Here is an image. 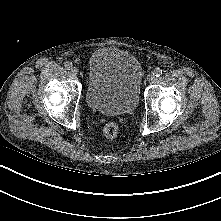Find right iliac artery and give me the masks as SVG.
Returning a JSON list of instances; mask_svg holds the SVG:
<instances>
[{"label": "right iliac artery", "instance_id": "1", "mask_svg": "<svg viewBox=\"0 0 221 221\" xmlns=\"http://www.w3.org/2000/svg\"><path fill=\"white\" fill-rule=\"evenodd\" d=\"M64 66H65V68L67 69V70H70L72 67H73V65H72V63L71 62H66L65 64H64Z\"/></svg>", "mask_w": 221, "mask_h": 221}]
</instances>
